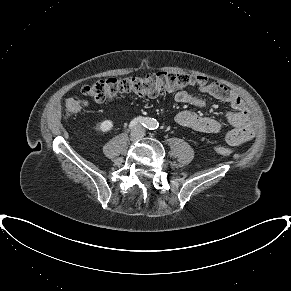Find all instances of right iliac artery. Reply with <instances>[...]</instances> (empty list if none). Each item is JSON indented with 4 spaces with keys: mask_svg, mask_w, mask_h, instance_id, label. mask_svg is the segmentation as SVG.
Here are the masks:
<instances>
[{
    "mask_svg": "<svg viewBox=\"0 0 291 291\" xmlns=\"http://www.w3.org/2000/svg\"><path fill=\"white\" fill-rule=\"evenodd\" d=\"M138 123L146 126L149 123V119L144 117H137L130 122L129 128L132 129Z\"/></svg>",
    "mask_w": 291,
    "mask_h": 291,
    "instance_id": "82829eb1",
    "label": "right iliac artery"
}]
</instances>
